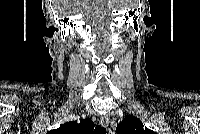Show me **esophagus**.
<instances>
[{
    "label": "esophagus",
    "instance_id": "obj_1",
    "mask_svg": "<svg viewBox=\"0 0 200 134\" xmlns=\"http://www.w3.org/2000/svg\"><path fill=\"white\" fill-rule=\"evenodd\" d=\"M100 125L102 127H108V125H109V117H108V115L101 116V118H100Z\"/></svg>",
    "mask_w": 200,
    "mask_h": 134
}]
</instances>
